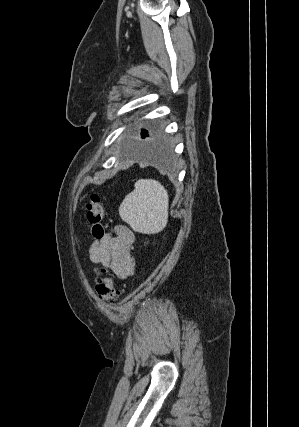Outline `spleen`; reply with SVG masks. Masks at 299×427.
<instances>
[{
  "label": "spleen",
  "instance_id": "obj_1",
  "mask_svg": "<svg viewBox=\"0 0 299 427\" xmlns=\"http://www.w3.org/2000/svg\"><path fill=\"white\" fill-rule=\"evenodd\" d=\"M135 189L125 196L119 207V215L135 232L156 234L168 222V192L160 182L140 179Z\"/></svg>",
  "mask_w": 299,
  "mask_h": 427
}]
</instances>
